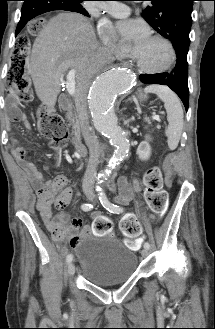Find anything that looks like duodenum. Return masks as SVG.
I'll return each instance as SVG.
<instances>
[{
  "label": "duodenum",
  "mask_w": 215,
  "mask_h": 329,
  "mask_svg": "<svg viewBox=\"0 0 215 329\" xmlns=\"http://www.w3.org/2000/svg\"><path fill=\"white\" fill-rule=\"evenodd\" d=\"M59 105L66 113H70L72 110V100L70 96L65 93H62L60 95ZM73 148L78 156H84L86 154V147L83 145V143L79 140L77 136L73 137Z\"/></svg>",
  "instance_id": "1"
}]
</instances>
